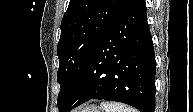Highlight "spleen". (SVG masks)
<instances>
[{
	"mask_svg": "<svg viewBox=\"0 0 193 112\" xmlns=\"http://www.w3.org/2000/svg\"><path fill=\"white\" fill-rule=\"evenodd\" d=\"M101 107L105 112H137V110L132 107L114 102H103Z\"/></svg>",
	"mask_w": 193,
	"mask_h": 112,
	"instance_id": "3e777b00",
	"label": "spleen"
}]
</instances>
